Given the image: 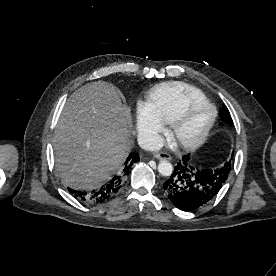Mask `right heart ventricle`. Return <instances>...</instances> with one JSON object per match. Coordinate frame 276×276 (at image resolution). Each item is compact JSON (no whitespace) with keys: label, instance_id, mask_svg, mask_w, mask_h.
Listing matches in <instances>:
<instances>
[{"label":"right heart ventricle","instance_id":"e07e8e85","mask_svg":"<svg viewBox=\"0 0 276 276\" xmlns=\"http://www.w3.org/2000/svg\"><path fill=\"white\" fill-rule=\"evenodd\" d=\"M197 88L183 82H167L151 92L145 110L163 123H171L192 100L205 99Z\"/></svg>","mask_w":276,"mask_h":276}]
</instances>
